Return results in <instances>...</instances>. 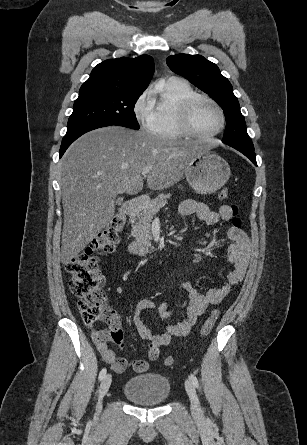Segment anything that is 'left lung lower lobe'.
<instances>
[{
  "mask_svg": "<svg viewBox=\"0 0 307 445\" xmlns=\"http://www.w3.org/2000/svg\"><path fill=\"white\" fill-rule=\"evenodd\" d=\"M230 146H232L236 150H238L241 153H243L246 157H248L254 163V165L257 166L256 155L254 153V148L244 147V146H234V145H230Z\"/></svg>",
  "mask_w": 307,
  "mask_h": 445,
  "instance_id": "left-lung-lower-lobe-1",
  "label": "left lung lower lobe"
}]
</instances>
